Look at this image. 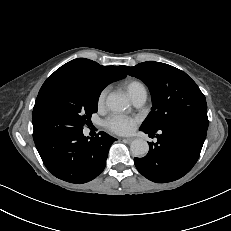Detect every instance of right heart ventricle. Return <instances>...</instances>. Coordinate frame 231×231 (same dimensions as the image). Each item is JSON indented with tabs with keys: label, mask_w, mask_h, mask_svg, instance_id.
I'll return each instance as SVG.
<instances>
[{
	"label": "right heart ventricle",
	"mask_w": 231,
	"mask_h": 231,
	"mask_svg": "<svg viewBox=\"0 0 231 231\" xmlns=\"http://www.w3.org/2000/svg\"><path fill=\"white\" fill-rule=\"evenodd\" d=\"M123 85L131 99L141 94H147L146 87L138 80H127Z\"/></svg>",
	"instance_id": "right-heart-ventricle-1"
}]
</instances>
